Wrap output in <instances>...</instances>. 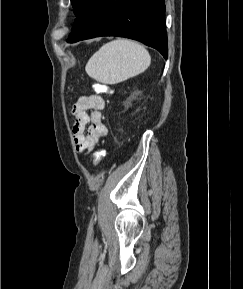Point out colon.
Segmentation results:
<instances>
[{
  "label": "colon",
  "mask_w": 243,
  "mask_h": 289,
  "mask_svg": "<svg viewBox=\"0 0 243 289\" xmlns=\"http://www.w3.org/2000/svg\"><path fill=\"white\" fill-rule=\"evenodd\" d=\"M94 89L98 92H104V93L108 92V88L103 84H95ZM104 155H105V151L103 149L96 151L94 153V164L99 165Z\"/></svg>",
  "instance_id": "colon-1"
}]
</instances>
